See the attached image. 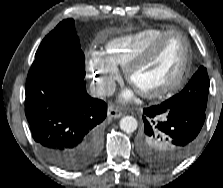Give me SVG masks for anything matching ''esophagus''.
I'll use <instances>...</instances> for the list:
<instances>
[{
  "mask_svg": "<svg viewBox=\"0 0 223 188\" xmlns=\"http://www.w3.org/2000/svg\"><path fill=\"white\" fill-rule=\"evenodd\" d=\"M123 115L121 111L118 109L114 108L112 105L108 107V117L109 118H119Z\"/></svg>",
  "mask_w": 223,
  "mask_h": 188,
  "instance_id": "34e87169",
  "label": "esophagus"
}]
</instances>
